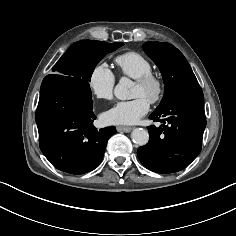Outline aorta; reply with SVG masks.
<instances>
[{
    "label": "aorta",
    "instance_id": "obj_1",
    "mask_svg": "<svg viewBox=\"0 0 236 236\" xmlns=\"http://www.w3.org/2000/svg\"><path fill=\"white\" fill-rule=\"evenodd\" d=\"M134 83L127 77H122L119 83L114 88V95L119 100L132 99L131 89ZM132 140L139 146H144L149 141V134L143 128H136L131 133Z\"/></svg>",
    "mask_w": 236,
    "mask_h": 236
}]
</instances>
